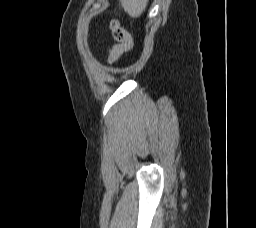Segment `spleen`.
Listing matches in <instances>:
<instances>
[{"label":"spleen","instance_id":"3e777b00","mask_svg":"<svg viewBox=\"0 0 256 228\" xmlns=\"http://www.w3.org/2000/svg\"><path fill=\"white\" fill-rule=\"evenodd\" d=\"M125 12L131 17H139L146 9L148 0H120Z\"/></svg>","mask_w":256,"mask_h":228}]
</instances>
